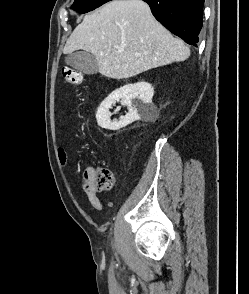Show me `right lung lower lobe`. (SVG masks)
Listing matches in <instances>:
<instances>
[{
  "label": "right lung lower lobe",
  "mask_w": 249,
  "mask_h": 294,
  "mask_svg": "<svg viewBox=\"0 0 249 294\" xmlns=\"http://www.w3.org/2000/svg\"><path fill=\"white\" fill-rule=\"evenodd\" d=\"M169 31L197 46L203 22L204 0H143Z\"/></svg>",
  "instance_id": "right-lung-lower-lobe-1"
}]
</instances>
